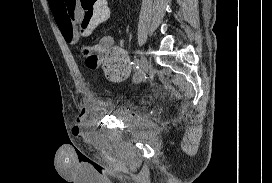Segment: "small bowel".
Instances as JSON below:
<instances>
[{"mask_svg": "<svg viewBox=\"0 0 272 183\" xmlns=\"http://www.w3.org/2000/svg\"><path fill=\"white\" fill-rule=\"evenodd\" d=\"M67 2V0H48L49 7L64 40L69 44H76L81 35H87L89 33L77 31L75 27L68 22L66 14ZM76 17H78V13H76ZM97 48L102 56L112 58L111 63H102L106 73L111 79L121 81L129 76L131 66L127 53L123 48L114 46V39L111 35L103 36ZM87 113L88 109L84 108L77 115V122L82 121Z\"/></svg>", "mask_w": 272, "mask_h": 183, "instance_id": "obj_1", "label": "small bowel"}]
</instances>
